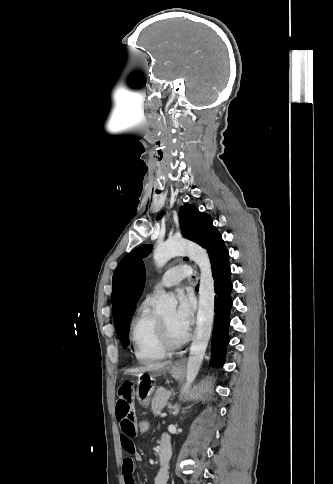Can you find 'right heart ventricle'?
Returning a JSON list of instances; mask_svg holds the SVG:
<instances>
[{"instance_id": "e07e8e85", "label": "right heart ventricle", "mask_w": 333, "mask_h": 484, "mask_svg": "<svg viewBox=\"0 0 333 484\" xmlns=\"http://www.w3.org/2000/svg\"><path fill=\"white\" fill-rule=\"evenodd\" d=\"M147 297L138 307L131 322V340L136 358L144 364L161 360L166 355L157 329L158 317L150 306Z\"/></svg>"}]
</instances>
